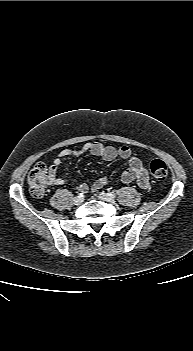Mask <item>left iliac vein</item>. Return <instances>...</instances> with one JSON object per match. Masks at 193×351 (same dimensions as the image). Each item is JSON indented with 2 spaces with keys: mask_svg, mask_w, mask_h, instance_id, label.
Returning a JSON list of instances; mask_svg holds the SVG:
<instances>
[{
  "mask_svg": "<svg viewBox=\"0 0 193 351\" xmlns=\"http://www.w3.org/2000/svg\"><path fill=\"white\" fill-rule=\"evenodd\" d=\"M98 197L99 199L105 201V202H108V203H114L115 200L112 196H110L108 193H105V192H100L98 194Z\"/></svg>",
  "mask_w": 193,
  "mask_h": 351,
  "instance_id": "left-iliac-vein-1",
  "label": "left iliac vein"
}]
</instances>
